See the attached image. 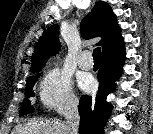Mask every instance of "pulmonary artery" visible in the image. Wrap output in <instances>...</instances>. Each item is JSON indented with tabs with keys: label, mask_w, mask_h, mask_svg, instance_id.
Instances as JSON below:
<instances>
[{
	"label": "pulmonary artery",
	"mask_w": 153,
	"mask_h": 134,
	"mask_svg": "<svg viewBox=\"0 0 153 134\" xmlns=\"http://www.w3.org/2000/svg\"><path fill=\"white\" fill-rule=\"evenodd\" d=\"M79 66L84 70H89L93 67V60L89 51H84L79 60Z\"/></svg>",
	"instance_id": "1"
}]
</instances>
